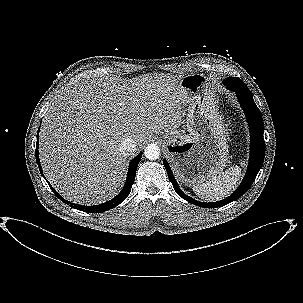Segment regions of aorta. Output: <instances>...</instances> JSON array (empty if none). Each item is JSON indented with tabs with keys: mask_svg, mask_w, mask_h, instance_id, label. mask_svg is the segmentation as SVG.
<instances>
[{
	"mask_svg": "<svg viewBox=\"0 0 303 303\" xmlns=\"http://www.w3.org/2000/svg\"><path fill=\"white\" fill-rule=\"evenodd\" d=\"M145 157L149 160H156L160 156V148L157 144L151 143L144 150Z\"/></svg>",
	"mask_w": 303,
	"mask_h": 303,
	"instance_id": "obj_1",
	"label": "aorta"
}]
</instances>
